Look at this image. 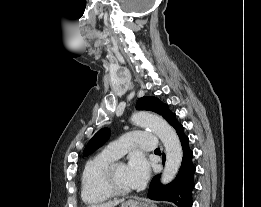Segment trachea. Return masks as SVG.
Wrapping results in <instances>:
<instances>
[{"instance_id":"3493384b","label":"trachea","mask_w":261,"mask_h":207,"mask_svg":"<svg viewBox=\"0 0 261 207\" xmlns=\"http://www.w3.org/2000/svg\"><path fill=\"white\" fill-rule=\"evenodd\" d=\"M159 150H160L159 148L156 149V151H159Z\"/></svg>"}]
</instances>
